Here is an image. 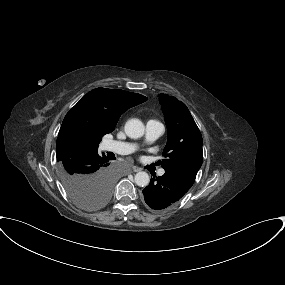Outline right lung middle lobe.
<instances>
[{"label": "right lung middle lobe", "instance_id": "right-lung-middle-lobe-1", "mask_svg": "<svg viewBox=\"0 0 285 285\" xmlns=\"http://www.w3.org/2000/svg\"><path fill=\"white\" fill-rule=\"evenodd\" d=\"M61 182L71 199L85 209H98L109 201L115 177L113 174L82 175L71 161L58 163Z\"/></svg>", "mask_w": 285, "mask_h": 285}]
</instances>
